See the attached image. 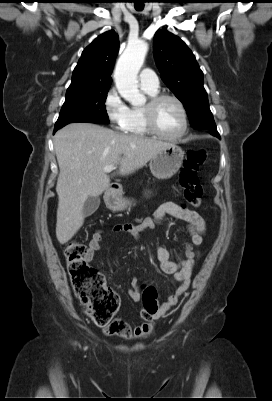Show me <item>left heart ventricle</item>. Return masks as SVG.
Masks as SVG:
<instances>
[{
	"label": "left heart ventricle",
	"instance_id": "obj_1",
	"mask_svg": "<svg viewBox=\"0 0 272 401\" xmlns=\"http://www.w3.org/2000/svg\"><path fill=\"white\" fill-rule=\"evenodd\" d=\"M156 122L166 135L174 136L183 129V117L178 105L171 100L163 101L157 108Z\"/></svg>",
	"mask_w": 272,
	"mask_h": 401
}]
</instances>
